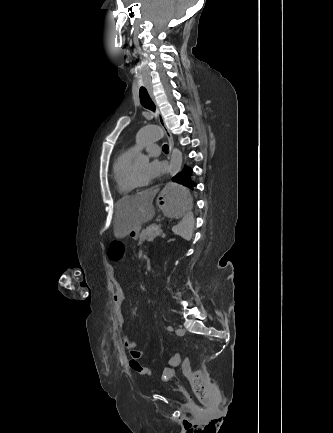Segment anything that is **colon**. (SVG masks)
<instances>
[{
    "instance_id": "1",
    "label": "colon",
    "mask_w": 333,
    "mask_h": 433,
    "mask_svg": "<svg viewBox=\"0 0 333 433\" xmlns=\"http://www.w3.org/2000/svg\"><path fill=\"white\" fill-rule=\"evenodd\" d=\"M125 241L124 240H111L109 245V255L111 265H120L121 258L124 255ZM168 362L173 364V368L181 365L182 371L188 378L194 395L202 404L208 402L210 397L209 380L204 372L195 370L192 367L191 361L188 357L182 356L179 353L172 355ZM130 368L139 375H149L151 370L138 363L135 360H130Z\"/></svg>"
}]
</instances>
